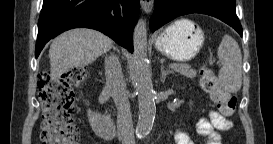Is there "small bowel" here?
Here are the masks:
<instances>
[{"instance_id":"1","label":"small bowel","mask_w":273,"mask_h":144,"mask_svg":"<svg viewBox=\"0 0 273 144\" xmlns=\"http://www.w3.org/2000/svg\"><path fill=\"white\" fill-rule=\"evenodd\" d=\"M233 128V122L219 112L211 110L208 117L199 118L196 123L197 133L204 138L206 144H222L221 132ZM176 144H193L190 137L183 131H176Z\"/></svg>"}]
</instances>
